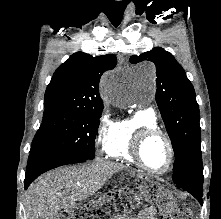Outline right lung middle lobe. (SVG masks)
I'll use <instances>...</instances> for the list:
<instances>
[{"instance_id":"right-lung-middle-lobe-1","label":"right lung middle lobe","mask_w":221,"mask_h":219,"mask_svg":"<svg viewBox=\"0 0 221 219\" xmlns=\"http://www.w3.org/2000/svg\"><path fill=\"white\" fill-rule=\"evenodd\" d=\"M44 107L43 121L30 151L47 148L75 158L94 159L95 137L103 108Z\"/></svg>"}]
</instances>
